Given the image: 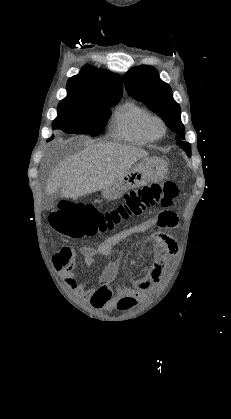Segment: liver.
Returning <instances> with one entry per match:
<instances>
[{
	"label": "liver",
	"mask_w": 231,
	"mask_h": 419,
	"mask_svg": "<svg viewBox=\"0 0 231 419\" xmlns=\"http://www.w3.org/2000/svg\"><path fill=\"white\" fill-rule=\"evenodd\" d=\"M140 148L117 143L92 144L66 158L51 173L46 194L77 199L111 186L137 160L147 157Z\"/></svg>",
	"instance_id": "6515ba94"
}]
</instances>
